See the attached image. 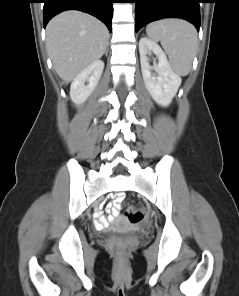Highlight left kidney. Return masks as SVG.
Wrapping results in <instances>:
<instances>
[{
  "label": "left kidney",
  "instance_id": "obj_1",
  "mask_svg": "<svg viewBox=\"0 0 239 296\" xmlns=\"http://www.w3.org/2000/svg\"><path fill=\"white\" fill-rule=\"evenodd\" d=\"M151 52L158 58V64L153 66L149 64L147 57ZM139 53L146 89L157 104L169 106L181 84L180 76L172 70L166 54L155 41L142 37L139 41ZM152 70H155L157 76L152 74Z\"/></svg>",
  "mask_w": 239,
  "mask_h": 296
}]
</instances>
